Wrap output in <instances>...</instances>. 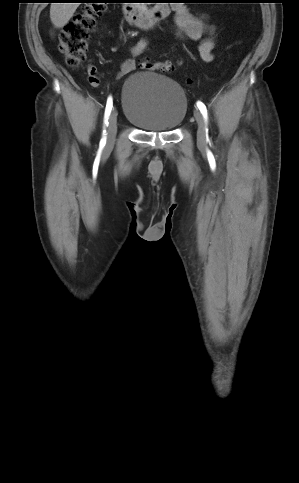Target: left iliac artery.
Listing matches in <instances>:
<instances>
[{
    "label": "left iliac artery",
    "instance_id": "obj_1",
    "mask_svg": "<svg viewBox=\"0 0 299 483\" xmlns=\"http://www.w3.org/2000/svg\"><path fill=\"white\" fill-rule=\"evenodd\" d=\"M197 107L199 108L200 112L202 113V115L204 117L205 122L207 123V109H206V106L202 102L198 101L197 102ZM206 131H207V128H206Z\"/></svg>",
    "mask_w": 299,
    "mask_h": 483
}]
</instances>
